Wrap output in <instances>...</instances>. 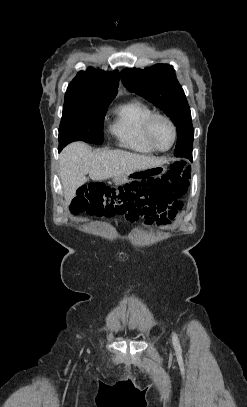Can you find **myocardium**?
Wrapping results in <instances>:
<instances>
[{"label": "myocardium", "mask_w": 247, "mask_h": 407, "mask_svg": "<svg viewBox=\"0 0 247 407\" xmlns=\"http://www.w3.org/2000/svg\"><path fill=\"white\" fill-rule=\"evenodd\" d=\"M156 119H163L165 120L171 127L172 132H173V139L171 144L169 145V147L167 148H160L157 146V144L155 143L153 137H152V125L154 123V121ZM144 134L146 137V140L148 141V143L151 145V147L155 150V151H159V152H165L168 151L172 148V146L175 144L176 139H177V127L175 125V123L173 122V120L165 115V114H161V113H152L145 121L144 124Z\"/></svg>", "instance_id": "myocardium-1"}]
</instances>
